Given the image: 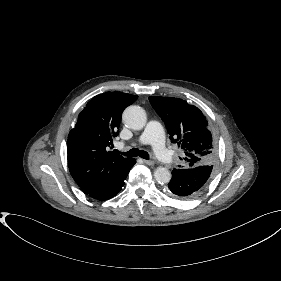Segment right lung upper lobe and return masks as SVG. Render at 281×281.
Masks as SVG:
<instances>
[{"mask_svg": "<svg viewBox=\"0 0 281 281\" xmlns=\"http://www.w3.org/2000/svg\"><path fill=\"white\" fill-rule=\"evenodd\" d=\"M138 97L107 92L91 99L79 114L67 140L68 166L80 188L93 197L110 187L132 158L107 151L117 136L124 108Z\"/></svg>", "mask_w": 281, "mask_h": 281, "instance_id": "obj_1", "label": "right lung upper lobe"}]
</instances>
